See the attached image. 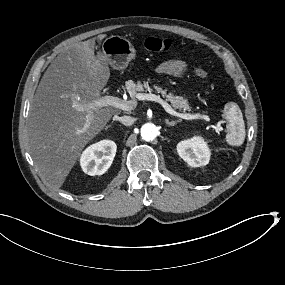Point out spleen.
<instances>
[{
	"label": "spleen",
	"mask_w": 285,
	"mask_h": 285,
	"mask_svg": "<svg viewBox=\"0 0 285 285\" xmlns=\"http://www.w3.org/2000/svg\"><path fill=\"white\" fill-rule=\"evenodd\" d=\"M244 138H245V129L242 128V130H241V138H240V142L241 143L244 141Z\"/></svg>",
	"instance_id": "obj_1"
}]
</instances>
